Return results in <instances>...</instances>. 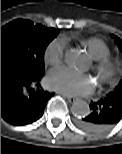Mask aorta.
<instances>
[{"mask_svg":"<svg viewBox=\"0 0 122 154\" xmlns=\"http://www.w3.org/2000/svg\"><path fill=\"white\" fill-rule=\"evenodd\" d=\"M82 59L81 52L76 49H70L65 53V62L70 67H77ZM71 111L75 117H84L90 112L89 104L84 100H77L72 104Z\"/></svg>","mask_w":122,"mask_h":154,"instance_id":"762f6f07","label":"aorta"}]
</instances>
